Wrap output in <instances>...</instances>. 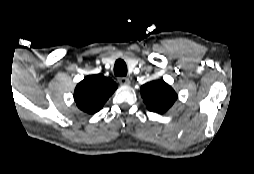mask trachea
<instances>
[{"label":"trachea","instance_id":"1","mask_svg":"<svg viewBox=\"0 0 254 174\" xmlns=\"http://www.w3.org/2000/svg\"><path fill=\"white\" fill-rule=\"evenodd\" d=\"M114 74L116 76H121V77L126 76V74H127V65H126L124 60L118 59L115 62V65H114Z\"/></svg>","mask_w":254,"mask_h":174}]
</instances>
